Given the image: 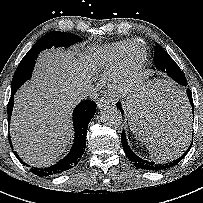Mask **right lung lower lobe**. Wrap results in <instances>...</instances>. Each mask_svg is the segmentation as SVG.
Masks as SVG:
<instances>
[{
	"mask_svg": "<svg viewBox=\"0 0 203 203\" xmlns=\"http://www.w3.org/2000/svg\"><path fill=\"white\" fill-rule=\"evenodd\" d=\"M36 54L32 53L31 58H35ZM16 91H11V97L9 99V103L7 106V114H8V124L10 123V118L13 110L14 103V94ZM96 111V103L91 100H84L80 102L73 112V124L75 129V140L73 147L66 157L61 159L56 164H53L49 167L39 168V167H31L30 171L39 177H47L60 174L72 167L76 166L80 161L82 154L86 148V133L90 120L94 116ZM9 143L11 145V141L9 138ZM15 156L18 160L28 167V164L23 162V160L18 156L16 152H14Z\"/></svg>",
	"mask_w": 203,
	"mask_h": 203,
	"instance_id": "1",
	"label": "right lung lower lobe"
}]
</instances>
